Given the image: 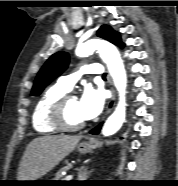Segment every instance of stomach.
I'll return each instance as SVG.
<instances>
[{
    "label": "stomach",
    "mask_w": 178,
    "mask_h": 186,
    "mask_svg": "<svg viewBox=\"0 0 178 186\" xmlns=\"http://www.w3.org/2000/svg\"><path fill=\"white\" fill-rule=\"evenodd\" d=\"M94 146V142L93 141H84L81 142L78 146H77V150L81 153V154H86L91 152V150L93 149ZM33 181H39V180H33ZM33 185H39L38 183H33Z\"/></svg>",
    "instance_id": "stomach-1"
}]
</instances>
